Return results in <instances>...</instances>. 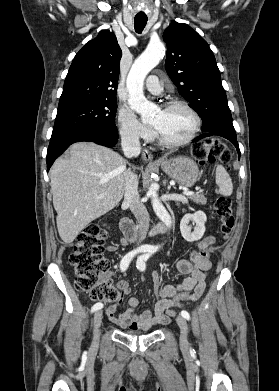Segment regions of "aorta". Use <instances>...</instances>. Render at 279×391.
Instances as JSON below:
<instances>
[{
	"instance_id": "obj_1",
	"label": "aorta",
	"mask_w": 279,
	"mask_h": 391,
	"mask_svg": "<svg viewBox=\"0 0 279 391\" xmlns=\"http://www.w3.org/2000/svg\"><path fill=\"white\" fill-rule=\"evenodd\" d=\"M164 54L165 47L162 42L150 43L145 51L134 61L128 74V104L132 110L141 116L142 120L149 119L156 110V105L149 102L144 96V80L147 74L159 63ZM148 194L151 196V203L155 214L170 228L172 219L158 198L157 185L155 183L150 185ZM155 248L158 249L159 246Z\"/></svg>"
}]
</instances>
